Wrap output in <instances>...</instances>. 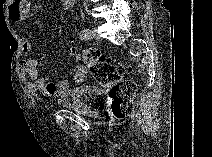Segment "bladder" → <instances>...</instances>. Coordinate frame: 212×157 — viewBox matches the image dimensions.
Here are the masks:
<instances>
[{"label":"bladder","instance_id":"31cf9c89","mask_svg":"<svg viewBox=\"0 0 212 157\" xmlns=\"http://www.w3.org/2000/svg\"><path fill=\"white\" fill-rule=\"evenodd\" d=\"M104 97V91L97 86H84L69 90L57 101L61 108L73 109L89 117L99 115L98 106Z\"/></svg>","mask_w":212,"mask_h":157}]
</instances>
